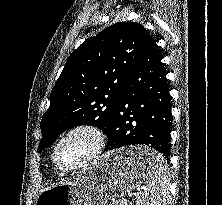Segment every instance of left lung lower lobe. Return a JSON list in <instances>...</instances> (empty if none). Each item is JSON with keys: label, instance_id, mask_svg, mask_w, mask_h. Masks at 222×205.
Masks as SVG:
<instances>
[{"label": "left lung lower lobe", "instance_id": "obj_1", "mask_svg": "<svg viewBox=\"0 0 222 205\" xmlns=\"http://www.w3.org/2000/svg\"><path fill=\"white\" fill-rule=\"evenodd\" d=\"M162 56L150 37L125 81L105 151L144 144L169 161L171 103ZM146 161V159H145Z\"/></svg>", "mask_w": 222, "mask_h": 205}]
</instances>
